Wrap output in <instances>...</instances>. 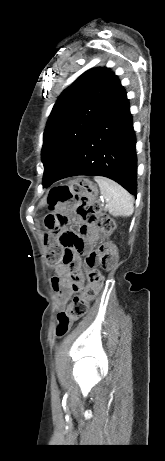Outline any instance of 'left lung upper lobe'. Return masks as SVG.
Instances as JSON below:
<instances>
[{"label": "left lung upper lobe", "mask_w": 165, "mask_h": 461, "mask_svg": "<svg viewBox=\"0 0 165 461\" xmlns=\"http://www.w3.org/2000/svg\"><path fill=\"white\" fill-rule=\"evenodd\" d=\"M122 85L106 67L84 72L65 89L49 116L42 147L43 186H49Z\"/></svg>", "instance_id": "obj_1"}]
</instances>
